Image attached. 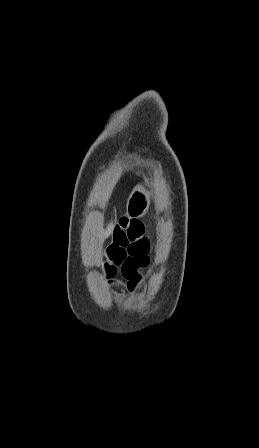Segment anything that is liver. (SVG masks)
<instances>
[{
    "instance_id": "obj_1",
    "label": "liver",
    "mask_w": 259,
    "mask_h": 448,
    "mask_svg": "<svg viewBox=\"0 0 259 448\" xmlns=\"http://www.w3.org/2000/svg\"><path fill=\"white\" fill-rule=\"evenodd\" d=\"M113 228H114V224H113V222H111V224H108L106 230H100V232H102V234H100V232H95V234H99L100 242H104V240H106V238H109V236H111V234L113 232Z\"/></svg>"
}]
</instances>
